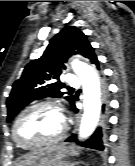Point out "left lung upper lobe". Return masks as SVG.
Instances as JSON below:
<instances>
[{"mask_svg": "<svg viewBox=\"0 0 135 166\" xmlns=\"http://www.w3.org/2000/svg\"><path fill=\"white\" fill-rule=\"evenodd\" d=\"M75 54H80L90 61L96 57L87 36L78 28L67 26L51 39L44 54L31 61L25 67L21 78L13 84L7 99V121L11 122L22 108L36 99L62 97L64 93L60 92V89L65 86L59 81V76L66 68L64 63ZM64 98L71 105L75 100L71 94Z\"/></svg>", "mask_w": 135, "mask_h": 166, "instance_id": "left-lung-upper-lobe-1", "label": "left lung upper lobe"}]
</instances>
